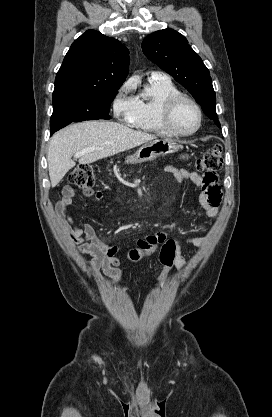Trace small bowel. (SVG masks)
<instances>
[{
  "instance_id": "obj_1",
  "label": "small bowel",
  "mask_w": 272,
  "mask_h": 417,
  "mask_svg": "<svg viewBox=\"0 0 272 417\" xmlns=\"http://www.w3.org/2000/svg\"><path fill=\"white\" fill-rule=\"evenodd\" d=\"M189 156L183 155L181 159L185 160ZM166 174L173 176L177 182L191 181L200 187L198 201L207 217L214 218L218 214V207L222 199V193L218 185V177L216 173L200 175L192 170L182 168L178 169L173 164H166L163 167ZM77 190L66 185L62 190V197L56 205V212L60 222L64 225L66 232L72 242L76 244L79 253L88 254L92 257L89 268L93 272L96 283L102 282L103 269L106 275L112 278L113 283H117L121 278V271L118 269L120 265L119 253L121 248L118 246H109L99 239L95 230L90 224L78 226L73 218L69 215V208L73 202ZM83 195L86 197H94L100 200L103 196L101 191H94L91 187L83 189ZM168 238L166 232L158 231L148 234L136 241V244L149 241H163ZM205 239L197 236H189L178 239L176 241L177 250L174 267L179 270H185L187 262L183 256V248L185 245L201 246Z\"/></svg>"
}]
</instances>
